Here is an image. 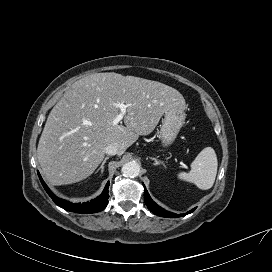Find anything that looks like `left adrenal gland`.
Masks as SVG:
<instances>
[{"label": "left adrenal gland", "mask_w": 272, "mask_h": 272, "mask_svg": "<svg viewBox=\"0 0 272 272\" xmlns=\"http://www.w3.org/2000/svg\"><path fill=\"white\" fill-rule=\"evenodd\" d=\"M150 159H152V160L154 161V163H153L154 165L163 164V161L158 160V159H156V158L150 157Z\"/></svg>", "instance_id": "obj_1"}]
</instances>
